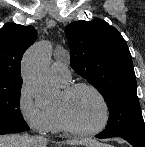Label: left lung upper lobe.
I'll use <instances>...</instances> for the list:
<instances>
[{"instance_id": "obj_1", "label": "left lung upper lobe", "mask_w": 145, "mask_h": 147, "mask_svg": "<svg viewBox=\"0 0 145 147\" xmlns=\"http://www.w3.org/2000/svg\"><path fill=\"white\" fill-rule=\"evenodd\" d=\"M71 67L104 97L110 116L102 132L145 138L131 54L116 28L101 19L69 24Z\"/></svg>"}]
</instances>
